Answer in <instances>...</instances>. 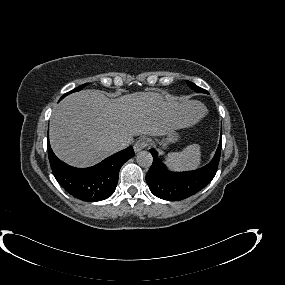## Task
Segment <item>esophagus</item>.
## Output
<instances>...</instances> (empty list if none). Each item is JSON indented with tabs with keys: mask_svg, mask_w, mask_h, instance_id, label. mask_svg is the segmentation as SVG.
<instances>
[{
	"mask_svg": "<svg viewBox=\"0 0 285 285\" xmlns=\"http://www.w3.org/2000/svg\"><path fill=\"white\" fill-rule=\"evenodd\" d=\"M148 145H149V139L148 138H145V137L140 138L134 144V151L139 152V151L143 150L144 148H146Z\"/></svg>",
	"mask_w": 285,
	"mask_h": 285,
	"instance_id": "esophagus-1",
	"label": "esophagus"
}]
</instances>
